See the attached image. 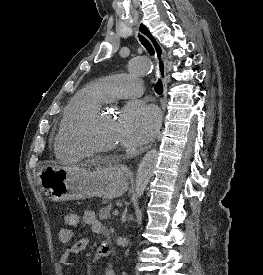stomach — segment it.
I'll return each instance as SVG.
<instances>
[{"instance_id":"0dacf381","label":"stomach","mask_w":263,"mask_h":275,"mask_svg":"<svg viewBox=\"0 0 263 275\" xmlns=\"http://www.w3.org/2000/svg\"><path fill=\"white\" fill-rule=\"evenodd\" d=\"M38 181L45 195L55 202L94 196L109 200L121 196L128 188L125 170L112 164L94 170L46 165L38 173Z\"/></svg>"}]
</instances>
